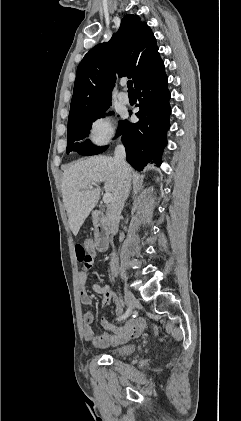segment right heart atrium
I'll return each instance as SVG.
<instances>
[{
    "mask_svg": "<svg viewBox=\"0 0 241 421\" xmlns=\"http://www.w3.org/2000/svg\"><path fill=\"white\" fill-rule=\"evenodd\" d=\"M116 136L113 120L107 114L96 116L89 125L88 140L94 147L108 145Z\"/></svg>",
    "mask_w": 241,
    "mask_h": 421,
    "instance_id": "right-heart-atrium-1",
    "label": "right heart atrium"
}]
</instances>
